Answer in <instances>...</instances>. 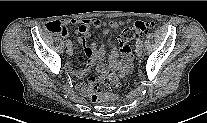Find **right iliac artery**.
Masks as SVG:
<instances>
[{
    "instance_id": "1",
    "label": "right iliac artery",
    "mask_w": 207,
    "mask_h": 123,
    "mask_svg": "<svg viewBox=\"0 0 207 123\" xmlns=\"http://www.w3.org/2000/svg\"><path fill=\"white\" fill-rule=\"evenodd\" d=\"M71 45H72L71 41L68 40V41L66 42V46L68 47V46H71Z\"/></svg>"
}]
</instances>
